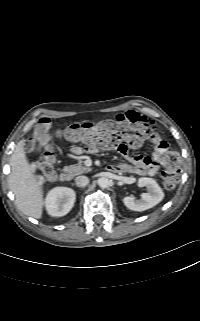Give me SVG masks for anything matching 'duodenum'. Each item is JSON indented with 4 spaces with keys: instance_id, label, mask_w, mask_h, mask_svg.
Segmentation results:
<instances>
[{
    "instance_id": "410a0bca",
    "label": "duodenum",
    "mask_w": 200,
    "mask_h": 321,
    "mask_svg": "<svg viewBox=\"0 0 200 321\" xmlns=\"http://www.w3.org/2000/svg\"><path fill=\"white\" fill-rule=\"evenodd\" d=\"M111 170V169H110ZM71 171L68 170V169H63L61 172H60V175H59V178L61 181H68L71 179Z\"/></svg>"
}]
</instances>
